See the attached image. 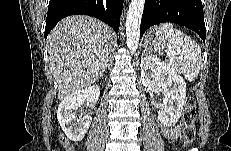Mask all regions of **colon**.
<instances>
[{
    "instance_id": "colon-1",
    "label": "colon",
    "mask_w": 231,
    "mask_h": 151,
    "mask_svg": "<svg viewBox=\"0 0 231 151\" xmlns=\"http://www.w3.org/2000/svg\"><path fill=\"white\" fill-rule=\"evenodd\" d=\"M183 121V131L182 137L183 141L186 144H190L195 139V121H196V111L194 108V100L193 98L189 97L186 99L185 108L182 115ZM60 141L63 145H68V141L65 137L61 136Z\"/></svg>"
}]
</instances>
